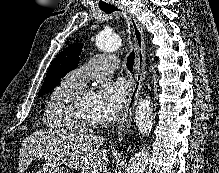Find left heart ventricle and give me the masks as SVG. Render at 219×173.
Returning a JSON list of instances; mask_svg holds the SVG:
<instances>
[{"instance_id": "b2bd125f", "label": "left heart ventricle", "mask_w": 219, "mask_h": 173, "mask_svg": "<svg viewBox=\"0 0 219 173\" xmlns=\"http://www.w3.org/2000/svg\"><path fill=\"white\" fill-rule=\"evenodd\" d=\"M82 107L85 114L92 120L100 121V117L96 110V95L91 92H87L82 100Z\"/></svg>"}]
</instances>
